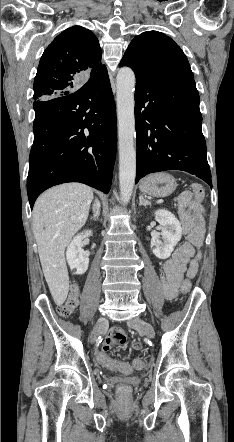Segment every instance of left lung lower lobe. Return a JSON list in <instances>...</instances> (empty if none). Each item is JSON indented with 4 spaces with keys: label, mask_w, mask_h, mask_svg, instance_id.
Instances as JSON below:
<instances>
[{
    "label": "left lung lower lobe",
    "mask_w": 234,
    "mask_h": 442,
    "mask_svg": "<svg viewBox=\"0 0 234 442\" xmlns=\"http://www.w3.org/2000/svg\"><path fill=\"white\" fill-rule=\"evenodd\" d=\"M194 79L136 77L137 183L147 174L183 170L212 187Z\"/></svg>",
    "instance_id": "1"
}]
</instances>
